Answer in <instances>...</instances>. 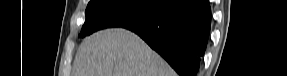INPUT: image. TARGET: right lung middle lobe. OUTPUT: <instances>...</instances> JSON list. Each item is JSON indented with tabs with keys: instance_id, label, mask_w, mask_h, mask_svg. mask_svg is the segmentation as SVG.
<instances>
[{
	"instance_id": "dd1d6c3e",
	"label": "right lung middle lobe",
	"mask_w": 287,
	"mask_h": 76,
	"mask_svg": "<svg viewBox=\"0 0 287 76\" xmlns=\"http://www.w3.org/2000/svg\"><path fill=\"white\" fill-rule=\"evenodd\" d=\"M167 0H91L79 37L98 30L140 25L152 18Z\"/></svg>"
}]
</instances>
